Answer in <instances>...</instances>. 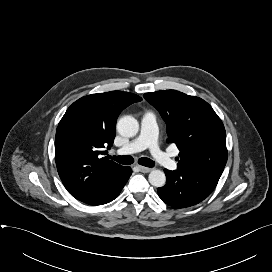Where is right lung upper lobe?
<instances>
[{
  "instance_id": "cb5924a9",
  "label": "right lung upper lobe",
  "mask_w": 272,
  "mask_h": 272,
  "mask_svg": "<svg viewBox=\"0 0 272 272\" xmlns=\"http://www.w3.org/2000/svg\"><path fill=\"white\" fill-rule=\"evenodd\" d=\"M141 100L133 93L111 91L82 97L67 109L56 131L55 161L73 197L89 196L122 173L125 167L101 156L113 145L119 114Z\"/></svg>"
}]
</instances>
